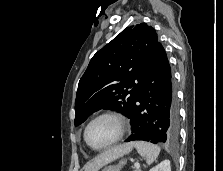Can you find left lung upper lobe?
<instances>
[{"mask_svg": "<svg viewBox=\"0 0 223 171\" xmlns=\"http://www.w3.org/2000/svg\"><path fill=\"white\" fill-rule=\"evenodd\" d=\"M158 44L155 29L141 23L125 28L99 50L79 81L75 126L100 109L117 110L130 117Z\"/></svg>", "mask_w": 223, "mask_h": 171, "instance_id": "left-lung-upper-lobe-1", "label": "left lung upper lobe"}]
</instances>
